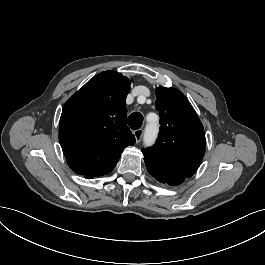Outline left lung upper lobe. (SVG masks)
<instances>
[{
    "label": "left lung upper lobe",
    "mask_w": 265,
    "mask_h": 265,
    "mask_svg": "<svg viewBox=\"0 0 265 265\" xmlns=\"http://www.w3.org/2000/svg\"><path fill=\"white\" fill-rule=\"evenodd\" d=\"M160 132L156 143L142 149L146 168L161 183L172 186L190 178L205 153L203 125L187 98L174 88L156 90Z\"/></svg>",
    "instance_id": "5c2ea615"
}]
</instances>
